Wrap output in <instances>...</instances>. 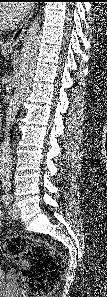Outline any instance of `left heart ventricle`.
Listing matches in <instances>:
<instances>
[{
	"label": "left heart ventricle",
	"mask_w": 107,
	"mask_h": 297,
	"mask_svg": "<svg viewBox=\"0 0 107 297\" xmlns=\"http://www.w3.org/2000/svg\"><path fill=\"white\" fill-rule=\"evenodd\" d=\"M0 18H1V21H2V22H5V21H4L5 18H4V16H3L2 12H0ZM3 18H4V19H3Z\"/></svg>",
	"instance_id": "left-heart-ventricle-1"
}]
</instances>
